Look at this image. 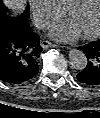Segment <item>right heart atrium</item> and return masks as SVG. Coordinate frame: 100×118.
Instances as JSON below:
<instances>
[{
	"label": "right heart atrium",
	"instance_id": "1",
	"mask_svg": "<svg viewBox=\"0 0 100 118\" xmlns=\"http://www.w3.org/2000/svg\"><path fill=\"white\" fill-rule=\"evenodd\" d=\"M29 6L39 28H47L61 16V9L54 0H29Z\"/></svg>",
	"mask_w": 100,
	"mask_h": 118
}]
</instances>
